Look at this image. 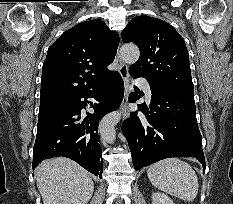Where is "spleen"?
Instances as JSON below:
<instances>
[{"instance_id": "1", "label": "spleen", "mask_w": 233, "mask_h": 204, "mask_svg": "<svg viewBox=\"0 0 233 204\" xmlns=\"http://www.w3.org/2000/svg\"><path fill=\"white\" fill-rule=\"evenodd\" d=\"M147 176L156 188L184 201H193L199 190L194 169L178 158H169L151 165Z\"/></svg>"}]
</instances>
